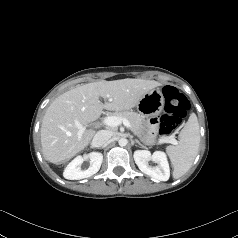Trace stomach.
<instances>
[{"instance_id": "1", "label": "stomach", "mask_w": 238, "mask_h": 238, "mask_svg": "<svg viewBox=\"0 0 238 238\" xmlns=\"http://www.w3.org/2000/svg\"><path fill=\"white\" fill-rule=\"evenodd\" d=\"M165 103L162 92L153 89L146 93L137 104V110L143 117H150L153 113L160 114Z\"/></svg>"}]
</instances>
